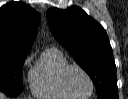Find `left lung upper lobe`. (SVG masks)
<instances>
[{
    "instance_id": "1",
    "label": "left lung upper lobe",
    "mask_w": 128,
    "mask_h": 99,
    "mask_svg": "<svg viewBox=\"0 0 128 99\" xmlns=\"http://www.w3.org/2000/svg\"><path fill=\"white\" fill-rule=\"evenodd\" d=\"M47 21L55 38L95 84L98 99L118 93L116 66L104 28L81 8H50Z\"/></svg>"
}]
</instances>
